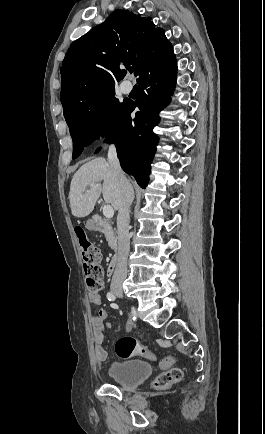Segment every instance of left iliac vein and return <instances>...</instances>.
I'll use <instances>...</instances> for the list:
<instances>
[{"label":"left iliac vein","instance_id":"1","mask_svg":"<svg viewBox=\"0 0 265 434\" xmlns=\"http://www.w3.org/2000/svg\"><path fill=\"white\" fill-rule=\"evenodd\" d=\"M118 295V297H122V293H116Z\"/></svg>","mask_w":265,"mask_h":434}]
</instances>
